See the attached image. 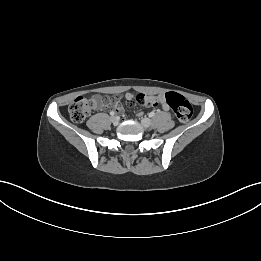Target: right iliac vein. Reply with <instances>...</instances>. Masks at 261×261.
Listing matches in <instances>:
<instances>
[{"mask_svg": "<svg viewBox=\"0 0 261 261\" xmlns=\"http://www.w3.org/2000/svg\"><path fill=\"white\" fill-rule=\"evenodd\" d=\"M110 120H111V122H112V124H113L114 126L118 125V123H119V119H118L117 116H112V117L110 118Z\"/></svg>", "mask_w": 261, "mask_h": 261, "instance_id": "63e3f726", "label": "right iliac vein"}]
</instances>
